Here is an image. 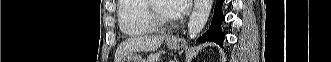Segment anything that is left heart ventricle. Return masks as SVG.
I'll return each mask as SVG.
<instances>
[{"instance_id":"1","label":"left heart ventricle","mask_w":331,"mask_h":62,"mask_svg":"<svg viewBox=\"0 0 331 62\" xmlns=\"http://www.w3.org/2000/svg\"><path fill=\"white\" fill-rule=\"evenodd\" d=\"M156 8L161 17L165 19H172L174 16L170 12L169 3L167 1H158L156 3Z\"/></svg>"}]
</instances>
